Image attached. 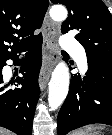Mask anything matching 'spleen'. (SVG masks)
Returning <instances> with one entry per match:
<instances>
[{"label": "spleen", "instance_id": "1", "mask_svg": "<svg viewBox=\"0 0 112 135\" xmlns=\"http://www.w3.org/2000/svg\"><path fill=\"white\" fill-rule=\"evenodd\" d=\"M101 128V127H100ZM72 135H87L85 131L83 130H80V131H76V132H73Z\"/></svg>", "mask_w": 112, "mask_h": 135}]
</instances>
